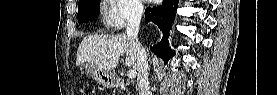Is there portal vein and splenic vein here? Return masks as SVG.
<instances>
[{
  "mask_svg": "<svg viewBox=\"0 0 277 95\" xmlns=\"http://www.w3.org/2000/svg\"><path fill=\"white\" fill-rule=\"evenodd\" d=\"M127 76L128 78L132 79V78H135L136 77V72L134 70H129L127 72Z\"/></svg>",
  "mask_w": 277,
  "mask_h": 95,
  "instance_id": "portal-vein-and-splenic-vein-1",
  "label": "portal vein and splenic vein"
}]
</instances>
